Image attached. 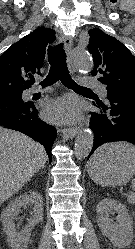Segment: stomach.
I'll return each mask as SVG.
<instances>
[{
    "label": "stomach",
    "mask_w": 135,
    "mask_h": 249,
    "mask_svg": "<svg viewBox=\"0 0 135 249\" xmlns=\"http://www.w3.org/2000/svg\"><path fill=\"white\" fill-rule=\"evenodd\" d=\"M88 173L100 185H124L135 174V158L107 149L102 150L100 156L89 161Z\"/></svg>",
    "instance_id": "1"
}]
</instances>
